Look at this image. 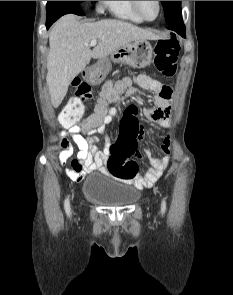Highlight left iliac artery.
<instances>
[{
  "mask_svg": "<svg viewBox=\"0 0 233 295\" xmlns=\"http://www.w3.org/2000/svg\"><path fill=\"white\" fill-rule=\"evenodd\" d=\"M166 210V201L163 199L161 203V213L164 214Z\"/></svg>",
  "mask_w": 233,
  "mask_h": 295,
  "instance_id": "left-iliac-artery-1",
  "label": "left iliac artery"
}]
</instances>
